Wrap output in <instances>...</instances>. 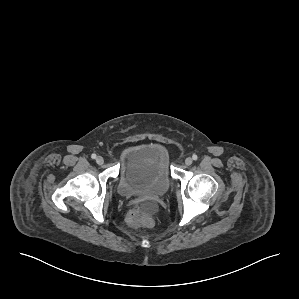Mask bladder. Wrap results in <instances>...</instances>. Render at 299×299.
I'll return each mask as SVG.
<instances>
[{
	"instance_id": "obj_1",
	"label": "bladder",
	"mask_w": 299,
	"mask_h": 299,
	"mask_svg": "<svg viewBox=\"0 0 299 299\" xmlns=\"http://www.w3.org/2000/svg\"><path fill=\"white\" fill-rule=\"evenodd\" d=\"M171 184L163 147L141 143L130 147L121 167L118 191L126 197L163 196Z\"/></svg>"
}]
</instances>
